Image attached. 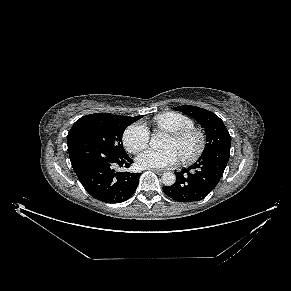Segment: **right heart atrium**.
I'll return each mask as SVG.
<instances>
[{
	"mask_svg": "<svg viewBox=\"0 0 291 291\" xmlns=\"http://www.w3.org/2000/svg\"><path fill=\"white\" fill-rule=\"evenodd\" d=\"M150 141V131L143 123L130 125L123 134V143L132 153H138L147 147Z\"/></svg>",
	"mask_w": 291,
	"mask_h": 291,
	"instance_id": "right-heart-atrium-1",
	"label": "right heart atrium"
}]
</instances>
